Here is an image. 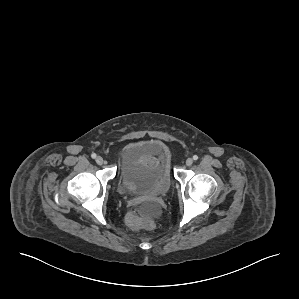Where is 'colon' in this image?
<instances>
[{
	"instance_id": "1",
	"label": "colon",
	"mask_w": 299,
	"mask_h": 299,
	"mask_svg": "<svg viewBox=\"0 0 299 299\" xmlns=\"http://www.w3.org/2000/svg\"><path fill=\"white\" fill-rule=\"evenodd\" d=\"M126 222L129 226L135 228H152L154 226L150 217L144 216L138 211H131L126 217Z\"/></svg>"
}]
</instances>
